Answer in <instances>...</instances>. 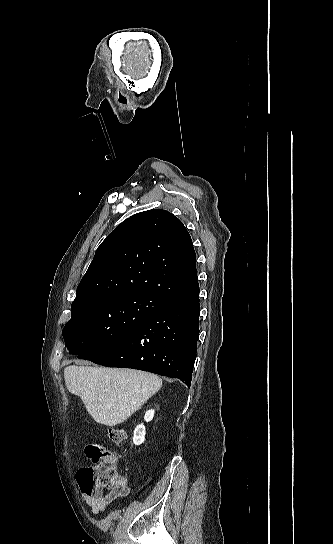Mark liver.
I'll return each mask as SVG.
<instances>
[{"mask_svg": "<svg viewBox=\"0 0 333 544\" xmlns=\"http://www.w3.org/2000/svg\"><path fill=\"white\" fill-rule=\"evenodd\" d=\"M64 379L99 424L123 423L162 386L157 375L133 369L68 366Z\"/></svg>", "mask_w": 333, "mask_h": 544, "instance_id": "1", "label": "liver"}]
</instances>
